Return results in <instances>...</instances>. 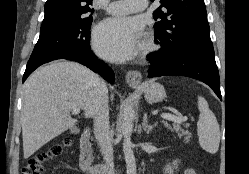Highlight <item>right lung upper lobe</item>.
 I'll return each mask as SVG.
<instances>
[{"mask_svg":"<svg viewBox=\"0 0 249 174\" xmlns=\"http://www.w3.org/2000/svg\"><path fill=\"white\" fill-rule=\"evenodd\" d=\"M90 5L92 0H47L42 26L86 18V14L93 12Z\"/></svg>","mask_w":249,"mask_h":174,"instance_id":"1","label":"right lung upper lobe"}]
</instances>
